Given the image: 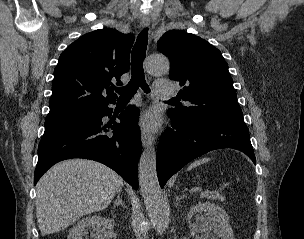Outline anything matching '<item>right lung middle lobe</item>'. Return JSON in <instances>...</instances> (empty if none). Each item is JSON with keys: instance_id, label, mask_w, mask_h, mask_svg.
Wrapping results in <instances>:
<instances>
[{"instance_id": "obj_1", "label": "right lung middle lobe", "mask_w": 304, "mask_h": 239, "mask_svg": "<svg viewBox=\"0 0 304 239\" xmlns=\"http://www.w3.org/2000/svg\"><path fill=\"white\" fill-rule=\"evenodd\" d=\"M88 113H85V114H81V115H78V116H76V117H73V118H79V117H84V116H86ZM70 119H72V118H70Z\"/></svg>"}]
</instances>
